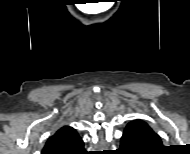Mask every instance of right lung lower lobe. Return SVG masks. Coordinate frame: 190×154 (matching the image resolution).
<instances>
[{"mask_svg": "<svg viewBox=\"0 0 190 154\" xmlns=\"http://www.w3.org/2000/svg\"><path fill=\"white\" fill-rule=\"evenodd\" d=\"M85 153V150L81 151V154Z\"/></svg>", "mask_w": 190, "mask_h": 154, "instance_id": "1", "label": "right lung lower lobe"}]
</instances>
